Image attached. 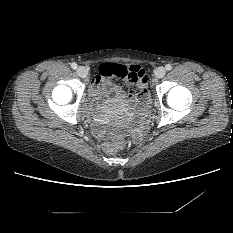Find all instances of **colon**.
<instances>
[{
  "mask_svg": "<svg viewBox=\"0 0 233 233\" xmlns=\"http://www.w3.org/2000/svg\"><path fill=\"white\" fill-rule=\"evenodd\" d=\"M116 73H117V75L119 77H123V78L127 77V73H126L124 68H118ZM130 80L133 82V84L138 86L136 78H132ZM130 145H131L130 137L128 135H126V134H123L116 141L104 143L103 144V150L107 154H116L120 150H123V149L129 147Z\"/></svg>",
  "mask_w": 233,
  "mask_h": 233,
  "instance_id": "5ec220e1",
  "label": "colon"
}]
</instances>
